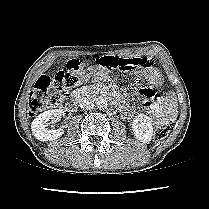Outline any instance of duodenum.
Here are the masks:
<instances>
[{
    "instance_id": "obj_1",
    "label": "duodenum",
    "mask_w": 209,
    "mask_h": 209,
    "mask_svg": "<svg viewBox=\"0 0 209 209\" xmlns=\"http://www.w3.org/2000/svg\"><path fill=\"white\" fill-rule=\"evenodd\" d=\"M101 93H106L105 91H102ZM114 98H116L118 101H121V98L119 97V95L115 94V93H110ZM81 97V93L80 92H76L73 94H67L64 95L62 100H61V106L63 108L66 109H70L73 110L77 104V101L79 100V98Z\"/></svg>"
}]
</instances>
